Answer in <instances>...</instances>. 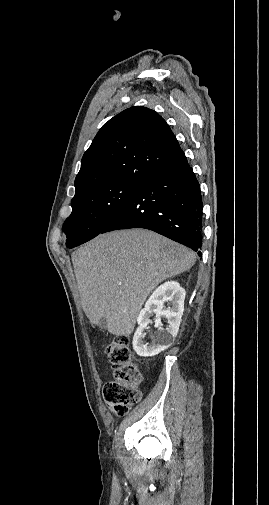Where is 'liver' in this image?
<instances>
[{
  "label": "liver",
  "instance_id": "1",
  "mask_svg": "<svg viewBox=\"0 0 269 505\" xmlns=\"http://www.w3.org/2000/svg\"><path fill=\"white\" fill-rule=\"evenodd\" d=\"M71 257L87 318H104L111 334L125 337L152 290L196 261L187 247L145 229L101 234Z\"/></svg>",
  "mask_w": 269,
  "mask_h": 505
}]
</instances>
